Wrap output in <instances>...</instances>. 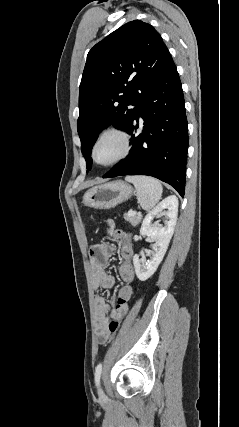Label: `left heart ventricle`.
<instances>
[{
  "instance_id": "obj_1",
  "label": "left heart ventricle",
  "mask_w": 239,
  "mask_h": 427,
  "mask_svg": "<svg viewBox=\"0 0 239 427\" xmlns=\"http://www.w3.org/2000/svg\"><path fill=\"white\" fill-rule=\"evenodd\" d=\"M122 150V140L116 135H108L97 145L95 156L97 161L107 163L116 159L121 154Z\"/></svg>"
}]
</instances>
